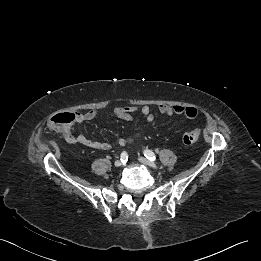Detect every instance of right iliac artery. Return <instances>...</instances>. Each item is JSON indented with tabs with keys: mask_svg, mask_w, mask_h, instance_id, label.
Listing matches in <instances>:
<instances>
[{
	"mask_svg": "<svg viewBox=\"0 0 261 261\" xmlns=\"http://www.w3.org/2000/svg\"><path fill=\"white\" fill-rule=\"evenodd\" d=\"M120 157H121L120 160H121L122 163H126V162H127V160H128V155H127V153H126L125 151H123V152L121 153V156H120Z\"/></svg>",
	"mask_w": 261,
	"mask_h": 261,
	"instance_id": "obj_1",
	"label": "right iliac artery"
}]
</instances>
